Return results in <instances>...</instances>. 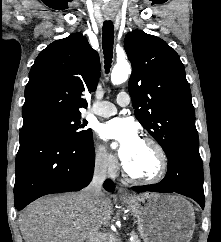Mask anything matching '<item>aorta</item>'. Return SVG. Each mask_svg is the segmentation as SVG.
I'll return each mask as SVG.
<instances>
[{
    "mask_svg": "<svg viewBox=\"0 0 221 242\" xmlns=\"http://www.w3.org/2000/svg\"><path fill=\"white\" fill-rule=\"evenodd\" d=\"M131 74V66L127 61L118 62L111 73V82L114 85H119L127 81Z\"/></svg>",
    "mask_w": 221,
    "mask_h": 242,
    "instance_id": "aorta-1",
    "label": "aorta"
}]
</instances>
